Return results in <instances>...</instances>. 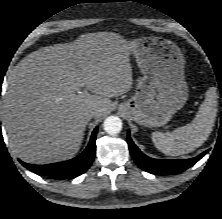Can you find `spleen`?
Wrapping results in <instances>:
<instances>
[{
	"instance_id": "spleen-1",
	"label": "spleen",
	"mask_w": 222,
	"mask_h": 219,
	"mask_svg": "<svg viewBox=\"0 0 222 219\" xmlns=\"http://www.w3.org/2000/svg\"><path fill=\"white\" fill-rule=\"evenodd\" d=\"M217 116L216 88L206 92L205 101L200 105L193 121L172 132H153L152 141L162 153L170 156L187 154L200 147L209 137Z\"/></svg>"
}]
</instances>
